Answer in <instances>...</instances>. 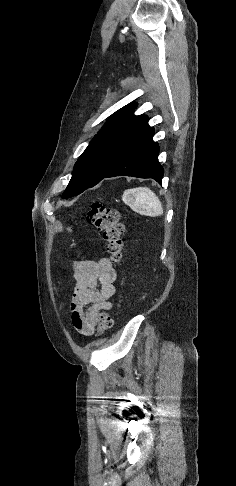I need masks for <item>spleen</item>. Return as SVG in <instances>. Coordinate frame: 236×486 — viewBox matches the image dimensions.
<instances>
[{
	"label": "spleen",
	"instance_id": "1",
	"mask_svg": "<svg viewBox=\"0 0 236 486\" xmlns=\"http://www.w3.org/2000/svg\"><path fill=\"white\" fill-rule=\"evenodd\" d=\"M122 200L133 211L151 217L163 214L162 203L156 194L147 187L128 189L123 193Z\"/></svg>",
	"mask_w": 236,
	"mask_h": 486
}]
</instances>
